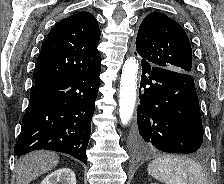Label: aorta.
<instances>
[{
	"label": "aorta",
	"mask_w": 224,
	"mask_h": 184,
	"mask_svg": "<svg viewBox=\"0 0 224 184\" xmlns=\"http://www.w3.org/2000/svg\"><path fill=\"white\" fill-rule=\"evenodd\" d=\"M139 63L134 57L128 58L122 68L119 95V115L123 125L131 120L136 103L137 73Z\"/></svg>",
	"instance_id": "obj_1"
}]
</instances>
